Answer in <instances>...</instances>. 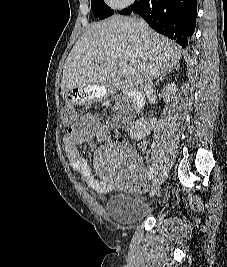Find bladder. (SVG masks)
<instances>
[{"label":"bladder","mask_w":227,"mask_h":267,"mask_svg":"<svg viewBox=\"0 0 227 267\" xmlns=\"http://www.w3.org/2000/svg\"><path fill=\"white\" fill-rule=\"evenodd\" d=\"M107 211L111 219L123 226H131L152 216L153 211L142 208L134 196L113 192L107 200Z\"/></svg>","instance_id":"bladder-1"}]
</instances>
